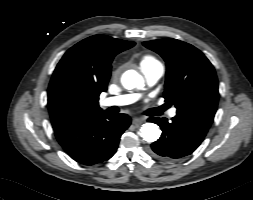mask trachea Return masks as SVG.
Returning <instances> with one entry per match:
<instances>
[{"mask_svg":"<svg viewBox=\"0 0 253 200\" xmlns=\"http://www.w3.org/2000/svg\"><path fill=\"white\" fill-rule=\"evenodd\" d=\"M166 109V107H161V108H158L157 110H158V112H162V111H164Z\"/></svg>","mask_w":253,"mask_h":200,"instance_id":"trachea-1","label":"trachea"}]
</instances>
